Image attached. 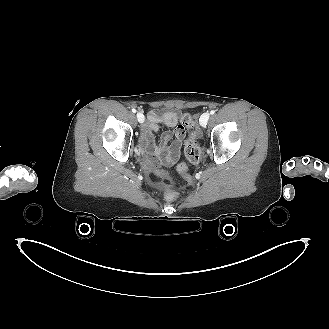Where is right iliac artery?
<instances>
[{
  "label": "right iliac artery",
  "mask_w": 329,
  "mask_h": 329,
  "mask_svg": "<svg viewBox=\"0 0 329 329\" xmlns=\"http://www.w3.org/2000/svg\"><path fill=\"white\" fill-rule=\"evenodd\" d=\"M132 112H133V113H136V109L133 108V109H132Z\"/></svg>",
  "instance_id": "1"
}]
</instances>
